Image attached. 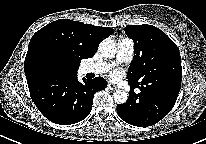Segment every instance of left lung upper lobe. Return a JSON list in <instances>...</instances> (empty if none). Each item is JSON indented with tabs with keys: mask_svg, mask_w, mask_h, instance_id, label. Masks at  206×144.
<instances>
[{
	"mask_svg": "<svg viewBox=\"0 0 206 144\" xmlns=\"http://www.w3.org/2000/svg\"><path fill=\"white\" fill-rule=\"evenodd\" d=\"M124 30L135 43L128 83H141L150 88L181 87L182 67L177 45L152 25H128Z\"/></svg>",
	"mask_w": 206,
	"mask_h": 144,
	"instance_id": "1",
	"label": "left lung upper lobe"
}]
</instances>
